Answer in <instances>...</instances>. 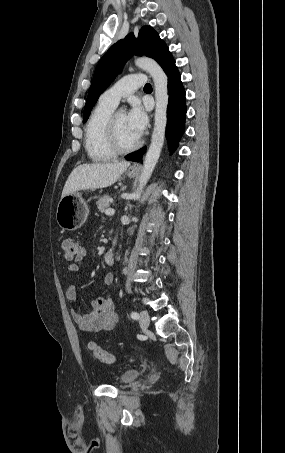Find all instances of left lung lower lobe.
<instances>
[{
	"instance_id": "0a47b994",
	"label": "left lung lower lobe",
	"mask_w": 285,
	"mask_h": 453,
	"mask_svg": "<svg viewBox=\"0 0 285 453\" xmlns=\"http://www.w3.org/2000/svg\"><path fill=\"white\" fill-rule=\"evenodd\" d=\"M168 76L169 101L167 107V127L166 136L169 141L170 149L173 151L180 137L184 132V123L186 115L185 91L181 82V76L175 65L169 50L163 55L158 62ZM146 147L125 156L126 160L139 162L142 159Z\"/></svg>"
}]
</instances>
